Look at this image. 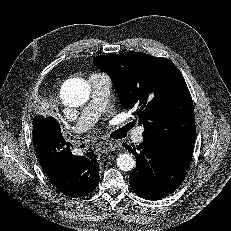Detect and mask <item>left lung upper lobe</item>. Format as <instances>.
Returning a JSON list of instances; mask_svg holds the SVG:
<instances>
[{
    "label": "left lung upper lobe",
    "instance_id": "1",
    "mask_svg": "<svg viewBox=\"0 0 231 231\" xmlns=\"http://www.w3.org/2000/svg\"><path fill=\"white\" fill-rule=\"evenodd\" d=\"M93 63L108 73L125 109L136 110L144 138L175 147L194 146L195 115L186 82L166 58L141 52L100 55Z\"/></svg>",
    "mask_w": 231,
    "mask_h": 231
}]
</instances>
